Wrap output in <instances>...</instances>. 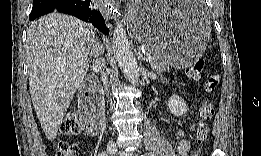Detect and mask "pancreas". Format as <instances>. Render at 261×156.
Instances as JSON below:
<instances>
[{
    "mask_svg": "<svg viewBox=\"0 0 261 156\" xmlns=\"http://www.w3.org/2000/svg\"><path fill=\"white\" fill-rule=\"evenodd\" d=\"M155 59L150 63L153 70L157 72H163L168 70L172 65L171 62L167 59H164L162 56L154 55Z\"/></svg>",
    "mask_w": 261,
    "mask_h": 156,
    "instance_id": "obj_1",
    "label": "pancreas"
}]
</instances>
